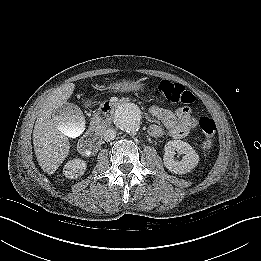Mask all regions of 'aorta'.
<instances>
[{
    "label": "aorta",
    "instance_id": "1",
    "mask_svg": "<svg viewBox=\"0 0 261 261\" xmlns=\"http://www.w3.org/2000/svg\"><path fill=\"white\" fill-rule=\"evenodd\" d=\"M141 121V110L134 103H124L115 111L114 123L124 132L130 134L136 133L140 128Z\"/></svg>",
    "mask_w": 261,
    "mask_h": 261
}]
</instances>
